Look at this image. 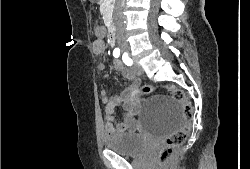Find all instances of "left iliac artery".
<instances>
[{
  "label": "left iliac artery",
  "mask_w": 250,
  "mask_h": 169,
  "mask_svg": "<svg viewBox=\"0 0 250 169\" xmlns=\"http://www.w3.org/2000/svg\"><path fill=\"white\" fill-rule=\"evenodd\" d=\"M122 60L123 62L127 65V66H131L133 64V61L131 58H129L127 53H124L122 56Z\"/></svg>",
  "instance_id": "1"
}]
</instances>
